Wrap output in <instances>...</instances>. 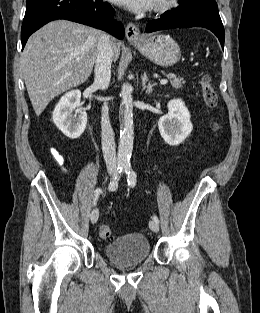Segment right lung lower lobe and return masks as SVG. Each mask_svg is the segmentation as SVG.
<instances>
[{
    "mask_svg": "<svg viewBox=\"0 0 260 313\" xmlns=\"http://www.w3.org/2000/svg\"><path fill=\"white\" fill-rule=\"evenodd\" d=\"M112 6L99 0H27L21 29L22 48L29 36L46 23L67 19L102 29L121 39L124 27L115 20Z\"/></svg>",
    "mask_w": 260,
    "mask_h": 313,
    "instance_id": "right-lung-lower-lobe-1",
    "label": "right lung lower lobe"
}]
</instances>
